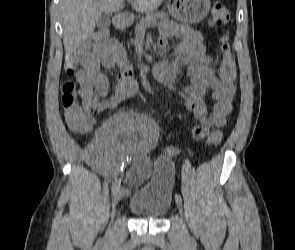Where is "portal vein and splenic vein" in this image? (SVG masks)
Masks as SVG:
<instances>
[{
    "mask_svg": "<svg viewBox=\"0 0 295 250\" xmlns=\"http://www.w3.org/2000/svg\"><path fill=\"white\" fill-rule=\"evenodd\" d=\"M128 2H132V0H128ZM155 23H151L150 26H155Z\"/></svg>",
    "mask_w": 295,
    "mask_h": 250,
    "instance_id": "18ae733b",
    "label": "portal vein and splenic vein"
}]
</instances>
